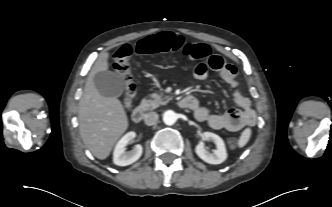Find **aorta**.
<instances>
[{
  "instance_id": "obj_1",
  "label": "aorta",
  "mask_w": 332,
  "mask_h": 207,
  "mask_svg": "<svg viewBox=\"0 0 332 207\" xmlns=\"http://www.w3.org/2000/svg\"><path fill=\"white\" fill-rule=\"evenodd\" d=\"M177 120V114L172 111V110H168L163 114V122L166 125H173Z\"/></svg>"
}]
</instances>
